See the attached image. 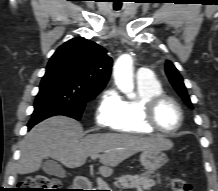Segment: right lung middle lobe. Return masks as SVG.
<instances>
[{
  "label": "right lung middle lobe",
  "instance_id": "dd1d6c3e",
  "mask_svg": "<svg viewBox=\"0 0 218 191\" xmlns=\"http://www.w3.org/2000/svg\"><path fill=\"white\" fill-rule=\"evenodd\" d=\"M101 90L86 85L62 70L47 68L32 116L46 111L80 120L86 103L94 99Z\"/></svg>",
  "mask_w": 218,
  "mask_h": 191
}]
</instances>
